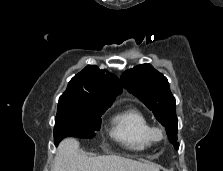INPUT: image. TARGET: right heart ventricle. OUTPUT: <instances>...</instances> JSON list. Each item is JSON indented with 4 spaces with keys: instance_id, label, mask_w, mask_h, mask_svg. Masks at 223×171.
Listing matches in <instances>:
<instances>
[{
    "instance_id": "1",
    "label": "right heart ventricle",
    "mask_w": 223,
    "mask_h": 171,
    "mask_svg": "<svg viewBox=\"0 0 223 171\" xmlns=\"http://www.w3.org/2000/svg\"><path fill=\"white\" fill-rule=\"evenodd\" d=\"M150 127L148 119L140 110L129 107L112 116L110 135L124 147L142 151L152 144Z\"/></svg>"
}]
</instances>
